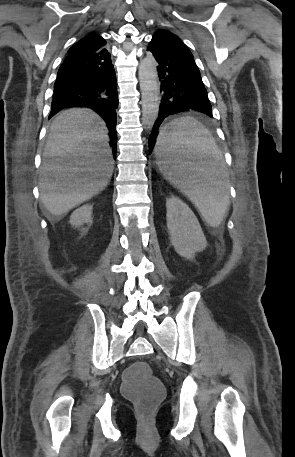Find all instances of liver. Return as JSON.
Wrapping results in <instances>:
<instances>
[{
  "mask_svg": "<svg viewBox=\"0 0 295 457\" xmlns=\"http://www.w3.org/2000/svg\"><path fill=\"white\" fill-rule=\"evenodd\" d=\"M108 130L94 111L74 108L54 119L40 168V198L54 216H62L99 194L113 173Z\"/></svg>",
  "mask_w": 295,
  "mask_h": 457,
  "instance_id": "liver-1",
  "label": "liver"
}]
</instances>
